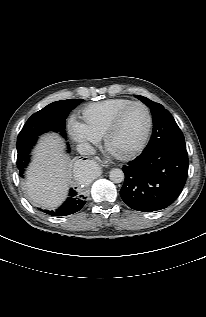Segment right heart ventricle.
<instances>
[{"label": "right heart ventricle", "instance_id": "right-heart-ventricle-1", "mask_svg": "<svg viewBox=\"0 0 206 317\" xmlns=\"http://www.w3.org/2000/svg\"><path fill=\"white\" fill-rule=\"evenodd\" d=\"M133 101L125 98L108 99L86 106L81 112L82 124L99 139L103 137L114 116Z\"/></svg>", "mask_w": 206, "mask_h": 317}]
</instances>
